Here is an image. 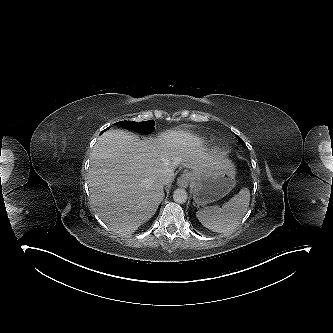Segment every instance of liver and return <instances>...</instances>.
Wrapping results in <instances>:
<instances>
[{
	"label": "liver",
	"instance_id": "obj_1",
	"mask_svg": "<svg viewBox=\"0 0 333 333\" xmlns=\"http://www.w3.org/2000/svg\"><path fill=\"white\" fill-rule=\"evenodd\" d=\"M178 166L201 173L231 163L207 153L197 136L182 130L143 140L119 129L105 132L90 156L88 186L93 210L112 231L132 234L155 214L164 198L161 171Z\"/></svg>",
	"mask_w": 333,
	"mask_h": 333
}]
</instances>
